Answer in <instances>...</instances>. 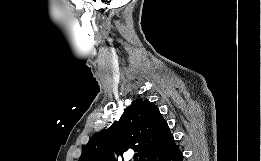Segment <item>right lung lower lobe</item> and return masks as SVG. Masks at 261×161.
I'll return each instance as SVG.
<instances>
[{"mask_svg":"<svg viewBox=\"0 0 261 161\" xmlns=\"http://www.w3.org/2000/svg\"><path fill=\"white\" fill-rule=\"evenodd\" d=\"M145 161H183L179 146L173 144L161 151L151 154Z\"/></svg>","mask_w":261,"mask_h":161,"instance_id":"obj_1","label":"right lung lower lobe"}]
</instances>
